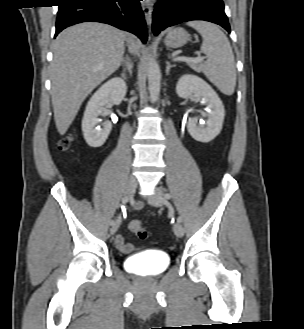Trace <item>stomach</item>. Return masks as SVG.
I'll list each match as a JSON object with an SVG mask.
<instances>
[{"label": "stomach", "instance_id": "0dacf381", "mask_svg": "<svg viewBox=\"0 0 304 329\" xmlns=\"http://www.w3.org/2000/svg\"><path fill=\"white\" fill-rule=\"evenodd\" d=\"M190 39V36L186 30L183 28H174L171 29L166 38H165V44L167 47L170 48H178L185 45Z\"/></svg>", "mask_w": 304, "mask_h": 329}]
</instances>
